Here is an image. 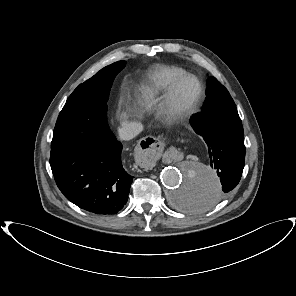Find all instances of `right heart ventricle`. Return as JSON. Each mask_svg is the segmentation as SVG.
Returning <instances> with one entry per match:
<instances>
[{"label": "right heart ventricle", "mask_w": 296, "mask_h": 296, "mask_svg": "<svg viewBox=\"0 0 296 296\" xmlns=\"http://www.w3.org/2000/svg\"><path fill=\"white\" fill-rule=\"evenodd\" d=\"M184 74L186 72L178 67H159L152 72L142 92L145 96L160 95L174 80Z\"/></svg>", "instance_id": "1"}]
</instances>
